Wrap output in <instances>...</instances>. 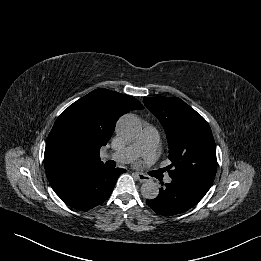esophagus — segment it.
<instances>
[{
    "label": "esophagus",
    "mask_w": 261,
    "mask_h": 261,
    "mask_svg": "<svg viewBox=\"0 0 261 261\" xmlns=\"http://www.w3.org/2000/svg\"><path fill=\"white\" fill-rule=\"evenodd\" d=\"M134 174L140 182H146V181L149 180V177L145 174H142V173H139V172H135Z\"/></svg>",
    "instance_id": "esophagus-1"
}]
</instances>
